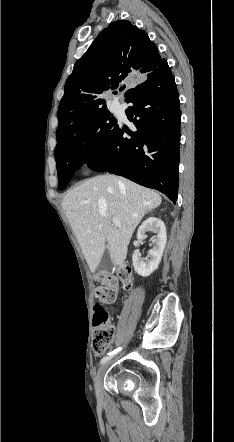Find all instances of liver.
<instances>
[{
	"instance_id": "1",
	"label": "liver",
	"mask_w": 234,
	"mask_h": 442,
	"mask_svg": "<svg viewBox=\"0 0 234 442\" xmlns=\"http://www.w3.org/2000/svg\"><path fill=\"white\" fill-rule=\"evenodd\" d=\"M161 201L155 191L109 174L90 178L64 196L63 210L92 273L106 249L114 265L125 261L135 228ZM113 217L120 227L111 224Z\"/></svg>"
}]
</instances>
